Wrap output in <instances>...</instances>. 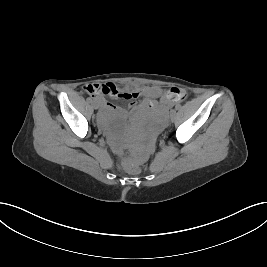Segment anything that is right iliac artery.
Listing matches in <instances>:
<instances>
[{
    "label": "right iliac artery",
    "mask_w": 267,
    "mask_h": 267,
    "mask_svg": "<svg viewBox=\"0 0 267 267\" xmlns=\"http://www.w3.org/2000/svg\"><path fill=\"white\" fill-rule=\"evenodd\" d=\"M87 102L92 103V98L88 97Z\"/></svg>",
    "instance_id": "right-iliac-artery-1"
}]
</instances>
